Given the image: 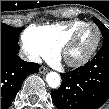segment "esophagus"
<instances>
[{"label":"esophagus","instance_id":"obj_1","mask_svg":"<svg viewBox=\"0 0 109 109\" xmlns=\"http://www.w3.org/2000/svg\"><path fill=\"white\" fill-rule=\"evenodd\" d=\"M49 71V69L47 67L41 66L39 69V73L41 74H45Z\"/></svg>","mask_w":109,"mask_h":109}]
</instances>
